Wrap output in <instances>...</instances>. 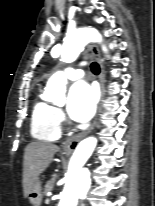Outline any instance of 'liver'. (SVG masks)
Here are the masks:
<instances>
[{
    "mask_svg": "<svg viewBox=\"0 0 155 206\" xmlns=\"http://www.w3.org/2000/svg\"><path fill=\"white\" fill-rule=\"evenodd\" d=\"M59 147L52 143L32 142L25 148L23 164L24 197H28L33 183L51 164Z\"/></svg>",
    "mask_w": 155,
    "mask_h": 206,
    "instance_id": "liver-1",
    "label": "liver"
}]
</instances>
